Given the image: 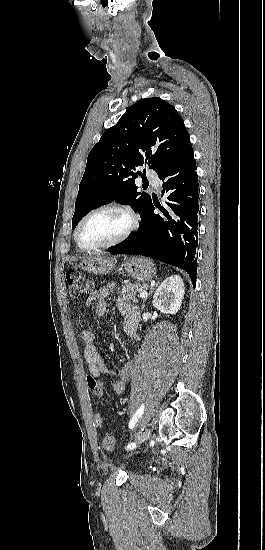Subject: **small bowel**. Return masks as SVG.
I'll list each match as a JSON object with an SVG mask.
<instances>
[{"label":"small bowel","mask_w":265,"mask_h":550,"mask_svg":"<svg viewBox=\"0 0 265 550\" xmlns=\"http://www.w3.org/2000/svg\"><path fill=\"white\" fill-rule=\"evenodd\" d=\"M110 289L108 287H103L95 292H93L85 301V305L89 306L94 303L95 314L97 316H102L106 313L108 309L107 296L109 295ZM116 306L120 312L123 322L122 327L124 333L132 339L138 340V322H139V308L136 305L131 304L125 297H120L117 299ZM81 339L83 340L85 347L83 351L84 359L88 364L89 374L94 378L106 374L111 375L116 378V381L113 385V390L116 394L123 393L128 378L131 373V363L129 361L125 362L118 370L111 371L109 370L102 362L101 355L94 345V334L91 331H84L81 334ZM103 395V390L101 388V393L98 397ZM95 414L94 423L98 426L102 424L96 420Z\"/></svg>","instance_id":"small-bowel-1"}]
</instances>
